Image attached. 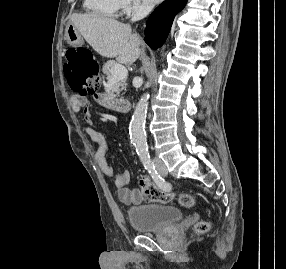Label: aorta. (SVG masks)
I'll return each mask as SVG.
<instances>
[{"mask_svg": "<svg viewBox=\"0 0 286 269\" xmlns=\"http://www.w3.org/2000/svg\"><path fill=\"white\" fill-rule=\"evenodd\" d=\"M149 94L141 96L129 126L130 139L140 157H148V146L145 133Z\"/></svg>", "mask_w": 286, "mask_h": 269, "instance_id": "762f6f07", "label": "aorta"}]
</instances>
